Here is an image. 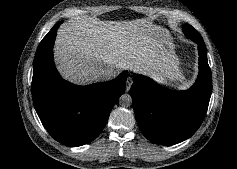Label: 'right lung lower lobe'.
Instances as JSON below:
<instances>
[{"instance_id":"98d812e1","label":"right lung lower lobe","mask_w":237,"mask_h":169,"mask_svg":"<svg viewBox=\"0 0 237 169\" xmlns=\"http://www.w3.org/2000/svg\"><path fill=\"white\" fill-rule=\"evenodd\" d=\"M56 24L40 42L34 58L32 97L37 114L58 142L81 146L95 139L104 128L109 114L125 91L127 74L88 86L63 80L53 60Z\"/></svg>"}]
</instances>
